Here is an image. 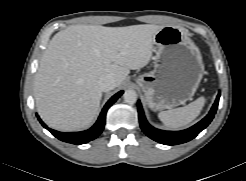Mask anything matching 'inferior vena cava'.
<instances>
[{
    "mask_svg": "<svg viewBox=\"0 0 246 181\" xmlns=\"http://www.w3.org/2000/svg\"><path fill=\"white\" fill-rule=\"evenodd\" d=\"M98 86L101 91H110L116 87V81L111 74H103L98 79Z\"/></svg>",
    "mask_w": 246,
    "mask_h": 181,
    "instance_id": "inferior-vena-cava-1",
    "label": "inferior vena cava"
}]
</instances>
